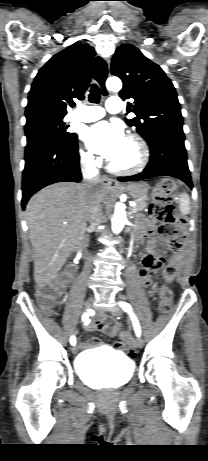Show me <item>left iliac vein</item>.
I'll use <instances>...</instances> for the list:
<instances>
[{
    "label": "left iliac vein",
    "mask_w": 208,
    "mask_h": 461,
    "mask_svg": "<svg viewBox=\"0 0 208 461\" xmlns=\"http://www.w3.org/2000/svg\"><path fill=\"white\" fill-rule=\"evenodd\" d=\"M112 313H113L114 316H121L123 311H122V309L120 307L115 306L112 309ZM136 346L138 348H141L143 346V339L140 336H138V338L136 340Z\"/></svg>",
    "instance_id": "left-iliac-vein-1"
}]
</instances>
